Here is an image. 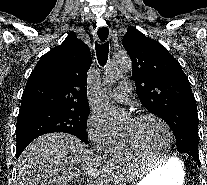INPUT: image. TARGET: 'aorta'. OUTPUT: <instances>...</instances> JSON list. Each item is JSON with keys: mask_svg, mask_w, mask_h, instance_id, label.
Segmentation results:
<instances>
[{"mask_svg": "<svg viewBox=\"0 0 207 185\" xmlns=\"http://www.w3.org/2000/svg\"><path fill=\"white\" fill-rule=\"evenodd\" d=\"M132 68L131 59L127 55H117L113 57L106 65L103 80L109 87L116 81L123 78ZM104 113L111 126L115 129H121L127 122L128 115L120 111L114 103L107 97L103 102Z\"/></svg>", "mask_w": 207, "mask_h": 185, "instance_id": "obj_1", "label": "aorta"}]
</instances>
